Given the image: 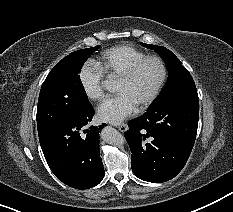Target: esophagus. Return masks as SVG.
Listing matches in <instances>:
<instances>
[{
	"label": "esophagus",
	"instance_id": "34e87169",
	"mask_svg": "<svg viewBox=\"0 0 233 212\" xmlns=\"http://www.w3.org/2000/svg\"><path fill=\"white\" fill-rule=\"evenodd\" d=\"M117 128L121 131V132H125L128 130V125L127 124H120L117 126Z\"/></svg>",
	"mask_w": 233,
	"mask_h": 212
}]
</instances>
